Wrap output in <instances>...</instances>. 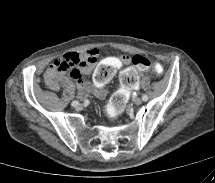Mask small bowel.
Returning <instances> with one entry per match:
<instances>
[{"mask_svg":"<svg viewBox=\"0 0 215 183\" xmlns=\"http://www.w3.org/2000/svg\"><path fill=\"white\" fill-rule=\"evenodd\" d=\"M99 56L100 51L95 47L88 48L82 52L65 54L62 58L54 61L45 71L44 78L47 86L52 90H58L59 82L67 83L70 79H74L81 97H86L91 92L97 97H104L107 92L105 85L110 78L123 70L124 64L130 62V57L128 55H121L120 57L112 55L102 60L99 66L95 68ZM60 60L75 61L77 65L69 74L66 72H58L56 66ZM93 69L94 71L87 83L84 81L82 75L89 74ZM132 89L137 90L138 86Z\"/></svg>","mask_w":215,"mask_h":183,"instance_id":"1","label":"small bowel"}]
</instances>
